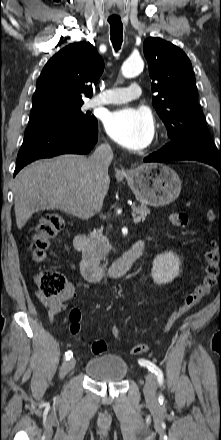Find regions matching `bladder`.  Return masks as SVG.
Returning a JSON list of instances; mask_svg holds the SVG:
<instances>
[{
    "mask_svg": "<svg viewBox=\"0 0 221 440\" xmlns=\"http://www.w3.org/2000/svg\"><path fill=\"white\" fill-rule=\"evenodd\" d=\"M85 372L91 379L119 383L128 373L126 360L115 354H105L90 359L85 365Z\"/></svg>",
    "mask_w": 221,
    "mask_h": 440,
    "instance_id": "obj_1",
    "label": "bladder"
}]
</instances>
